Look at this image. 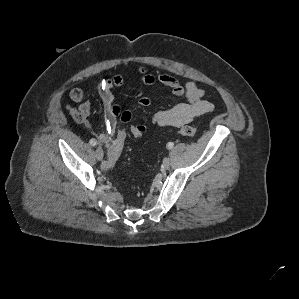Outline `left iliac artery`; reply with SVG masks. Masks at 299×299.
<instances>
[{"mask_svg":"<svg viewBox=\"0 0 299 299\" xmlns=\"http://www.w3.org/2000/svg\"><path fill=\"white\" fill-rule=\"evenodd\" d=\"M173 146H174V144H173L172 142H169V143L167 144V148H168V149L173 148Z\"/></svg>","mask_w":299,"mask_h":299,"instance_id":"1","label":"left iliac artery"}]
</instances>
